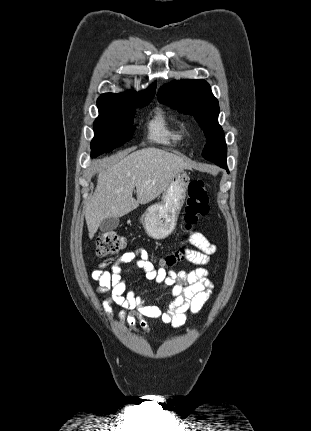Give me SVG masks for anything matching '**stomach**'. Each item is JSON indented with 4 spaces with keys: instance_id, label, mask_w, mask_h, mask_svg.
Segmentation results:
<instances>
[{
    "instance_id": "0dacf381",
    "label": "stomach",
    "mask_w": 311,
    "mask_h": 431,
    "mask_svg": "<svg viewBox=\"0 0 311 431\" xmlns=\"http://www.w3.org/2000/svg\"><path fill=\"white\" fill-rule=\"evenodd\" d=\"M189 184L190 174L179 172L163 192L160 202L152 204L142 214L140 223L149 237L165 239L173 233L184 206Z\"/></svg>"
}]
</instances>
